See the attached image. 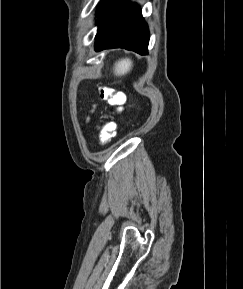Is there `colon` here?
I'll return each instance as SVG.
<instances>
[{
  "mask_svg": "<svg viewBox=\"0 0 243 289\" xmlns=\"http://www.w3.org/2000/svg\"><path fill=\"white\" fill-rule=\"evenodd\" d=\"M100 97L106 101L115 111H120L121 107L125 101V96L122 92L115 91L114 89L107 86L99 87ZM116 125L112 120L107 121L103 124L100 131V144H107L113 137Z\"/></svg>",
  "mask_w": 243,
  "mask_h": 289,
  "instance_id": "1",
  "label": "colon"
}]
</instances>
